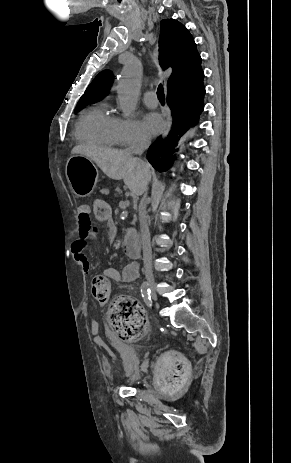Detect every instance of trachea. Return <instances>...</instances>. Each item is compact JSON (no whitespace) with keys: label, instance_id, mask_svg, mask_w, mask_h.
Returning a JSON list of instances; mask_svg holds the SVG:
<instances>
[{"label":"trachea","instance_id":"3493384b","mask_svg":"<svg viewBox=\"0 0 291 463\" xmlns=\"http://www.w3.org/2000/svg\"><path fill=\"white\" fill-rule=\"evenodd\" d=\"M157 96L160 102H165L164 89L161 84L157 88Z\"/></svg>","mask_w":291,"mask_h":463}]
</instances>
